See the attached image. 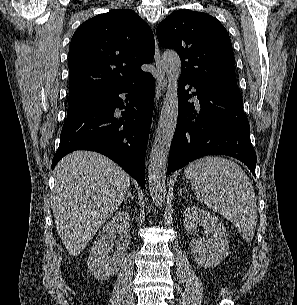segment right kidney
Masks as SVG:
<instances>
[{"label": "right kidney", "instance_id": "ca27d5eb", "mask_svg": "<svg viewBox=\"0 0 297 305\" xmlns=\"http://www.w3.org/2000/svg\"><path fill=\"white\" fill-rule=\"evenodd\" d=\"M120 234L117 250L109 256L116 234ZM130 241V216L126 211L115 214L99 232L88 257V270L92 276L104 280L120 268Z\"/></svg>", "mask_w": 297, "mask_h": 305}]
</instances>
